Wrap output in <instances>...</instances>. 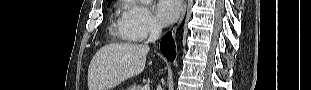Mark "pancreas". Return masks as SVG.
I'll use <instances>...</instances> for the list:
<instances>
[{"label":"pancreas","instance_id":"pancreas-1","mask_svg":"<svg viewBox=\"0 0 311 90\" xmlns=\"http://www.w3.org/2000/svg\"><path fill=\"white\" fill-rule=\"evenodd\" d=\"M129 90H141V88H138L137 86L133 85L131 86V88H129Z\"/></svg>","mask_w":311,"mask_h":90}]
</instances>
